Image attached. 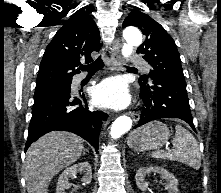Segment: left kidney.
Returning <instances> with one entry per match:
<instances>
[{
  "instance_id": "1",
  "label": "left kidney",
  "mask_w": 221,
  "mask_h": 193,
  "mask_svg": "<svg viewBox=\"0 0 221 193\" xmlns=\"http://www.w3.org/2000/svg\"><path fill=\"white\" fill-rule=\"evenodd\" d=\"M151 172L160 174L162 179L166 180L165 189L168 190L169 193H178V181L175 176L169 173L166 169L159 166H149V167H140L136 173L135 181L137 187L141 191H146L148 189V183L145 181L146 175Z\"/></svg>"
}]
</instances>
